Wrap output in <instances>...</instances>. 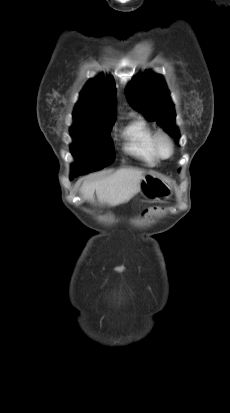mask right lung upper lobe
<instances>
[{
    "mask_svg": "<svg viewBox=\"0 0 230 413\" xmlns=\"http://www.w3.org/2000/svg\"><path fill=\"white\" fill-rule=\"evenodd\" d=\"M115 96L116 87L113 78L100 76L89 80L80 93V100L74 109L72 127L116 119Z\"/></svg>",
    "mask_w": 230,
    "mask_h": 413,
    "instance_id": "right-lung-upper-lobe-1",
    "label": "right lung upper lobe"
}]
</instances>
